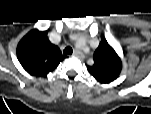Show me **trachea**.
Listing matches in <instances>:
<instances>
[{
    "mask_svg": "<svg viewBox=\"0 0 151 114\" xmlns=\"http://www.w3.org/2000/svg\"><path fill=\"white\" fill-rule=\"evenodd\" d=\"M73 50L71 47H66L64 50H63V53L64 54H72Z\"/></svg>",
    "mask_w": 151,
    "mask_h": 114,
    "instance_id": "trachea-1",
    "label": "trachea"
}]
</instances>
